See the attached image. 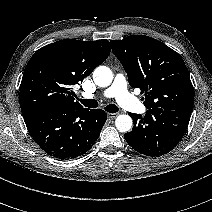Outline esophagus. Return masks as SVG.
<instances>
[{"instance_id": "34e87169", "label": "esophagus", "mask_w": 212, "mask_h": 212, "mask_svg": "<svg viewBox=\"0 0 212 212\" xmlns=\"http://www.w3.org/2000/svg\"><path fill=\"white\" fill-rule=\"evenodd\" d=\"M108 118L113 119L117 116V113H107Z\"/></svg>"}]
</instances>
